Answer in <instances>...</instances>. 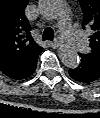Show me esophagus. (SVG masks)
<instances>
[{
  "label": "esophagus",
  "instance_id": "obj_1",
  "mask_svg": "<svg viewBox=\"0 0 100 118\" xmlns=\"http://www.w3.org/2000/svg\"><path fill=\"white\" fill-rule=\"evenodd\" d=\"M49 45L52 48H58L61 45L59 38H56L54 41L50 42Z\"/></svg>",
  "mask_w": 100,
  "mask_h": 118
}]
</instances>
